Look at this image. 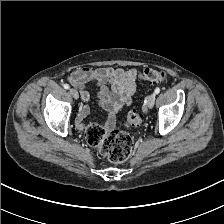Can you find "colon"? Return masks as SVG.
<instances>
[{"mask_svg": "<svg viewBox=\"0 0 224 224\" xmlns=\"http://www.w3.org/2000/svg\"><path fill=\"white\" fill-rule=\"evenodd\" d=\"M140 79L152 84H161L167 80L164 71L155 69H145L140 74ZM141 122V114L137 109H133L126 120L125 126L128 128L136 127ZM87 142L99 148V157L102 160L121 163L127 160L134 148L133 139L126 133L119 131H107L97 123L89 124L85 131Z\"/></svg>", "mask_w": 224, "mask_h": 224, "instance_id": "colon-1", "label": "colon"}]
</instances>
